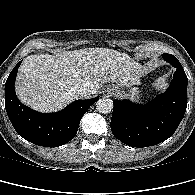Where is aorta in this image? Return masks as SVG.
I'll return each instance as SVG.
<instances>
[{
	"label": "aorta",
	"instance_id": "762f6f07",
	"mask_svg": "<svg viewBox=\"0 0 195 195\" xmlns=\"http://www.w3.org/2000/svg\"><path fill=\"white\" fill-rule=\"evenodd\" d=\"M96 109L99 113L108 114L113 110V101L111 99L102 98L96 102Z\"/></svg>",
	"mask_w": 195,
	"mask_h": 195
}]
</instances>
